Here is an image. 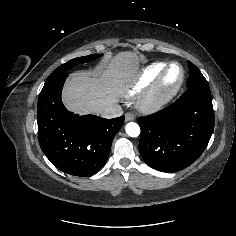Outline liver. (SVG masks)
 <instances>
[{"mask_svg":"<svg viewBox=\"0 0 236 236\" xmlns=\"http://www.w3.org/2000/svg\"><path fill=\"white\" fill-rule=\"evenodd\" d=\"M137 61L135 53L121 52L96 72L72 73L63 89L65 107L76 114H101L117 103Z\"/></svg>","mask_w":236,"mask_h":236,"instance_id":"6515ba94","label":"liver"}]
</instances>
